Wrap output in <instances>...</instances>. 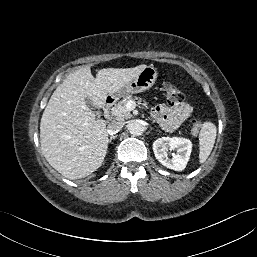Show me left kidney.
<instances>
[{"label":"left kidney","mask_w":257,"mask_h":257,"mask_svg":"<svg viewBox=\"0 0 257 257\" xmlns=\"http://www.w3.org/2000/svg\"><path fill=\"white\" fill-rule=\"evenodd\" d=\"M168 150L176 151V153H172V158L168 157ZM191 150V141L180 137H162L153 143V151L156 159L163 166L175 171H182L185 169Z\"/></svg>","instance_id":"obj_1"}]
</instances>
